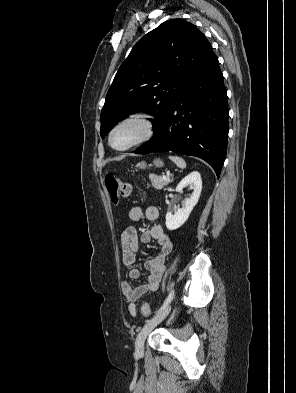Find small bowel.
<instances>
[{"mask_svg":"<svg viewBox=\"0 0 296 393\" xmlns=\"http://www.w3.org/2000/svg\"><path fill=\"white\" fill-rule=\"evenodd\" d=\"M129 219L137 222L144 217L150 221L156 220L159 211L156 207L150 206L145 210L140 206H134L129 210ZM155 240L158 245V251L154 257L144 263V267L149 271L146 281L133 287L129 282L122 283V291L128 303V310L132 316H136V302L146 293L156 291L159 288L163 273L164 263L167 255L172 250V241L163 231L161 226L154 225L149 230H145L138 235V230L134 226L126 228L121 234V253L122 261L126 266H130L129 276L137 279L140 276V270L133 267L136 262V252L139 248V242L149 243Z\"/></svg>","mask_w":296,"mask_h":393,"instance_id":"c3829d8e","label":"small bowel"}]
</instances>
